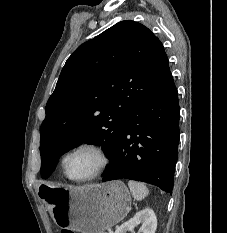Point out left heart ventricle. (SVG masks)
<instances>
[{"label": "left heart ventricle", "instance_id": "left-heart-ventricle-1", "mask_svg": "<svg viewBox=\"0 0 227 233\" xmlns=\"http://www.w3.org/2000/svg\"><path fill=\"white\" fill-rule=\"evenodd\" d=\"M99 164L100 159L95 152L81 150L70 157L68 171L72 178L81 179L91 175Z\"/></svg>", "mask_w": 227, "mask_h": 233}]
</instances>
